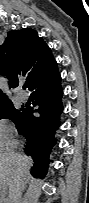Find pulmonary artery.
Returning <instances> with one entry per match:
<instances>
[{
  "instance_id": "1",
  "label": "pulmonary artery",
  "mask_w": 89,
  "mask_h": 203,
  "mask_svg": "<svg viewBox=\"0 0 89 203\" xmlns=\"http://www.w3.org/2000/svg\"><path fill=\"white\" fill-rule=\"evenodd\" d=\"M19 100L23 103L27 102L28 100V95L24 92H22L20 95H19Z\"/></svg>"
}]
</instances>
